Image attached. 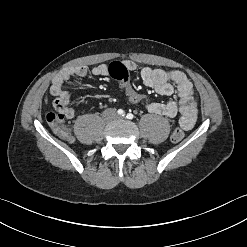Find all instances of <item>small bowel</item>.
I'll return each instance as SVG.
<instances>
[{"label": "small bowel", "instance_id": "c3829d8e", "mask_svg": "<svg viewBox=\"0 0 247 247\" xmlns=\"http://www.w3.org/2000/svg\"><path fill=\"white\" fill-rule=\"evenodd\" d=\"M122 64L128 71H133L137 65L133 61H124ZM91 74L93 76H109L110 65L100 64L88 69L85 66H72L58 74L52 81L50 94L54 97L53 106L61 111L65 118L73 119L76 116L75 110L69 105L70 93L65 83L72 77L83 78ZM143 83L153 88L160 95H171L175 90L178 93L179 101L170 100L166 103L153 102L151 105H144L153 114L176 117L180 116L179 124L183 129L193 128L197 120V101L193 93L192 83L185 73L179 70L165 71L160 68L144 67L141 72Z\"/></svg>", "mask_w": 247, "mask_h": 247}]
</instances>
